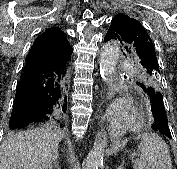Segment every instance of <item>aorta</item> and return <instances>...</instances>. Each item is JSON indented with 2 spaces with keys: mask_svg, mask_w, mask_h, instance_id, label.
Masks as SVG:
<instances>
[{
  "mask_svg": "<svg viewBox=\"0 0 177 169\" xmlns=\"http://www.w3.org/2000/svg\"><path fill=\"white\" fill-rule=\"evenodd\" d=\"M119 46L116 42L106 43L100 53V72L105 79L113 76L119 58ZM107 137L104 134L98 136L93 149L86 159L85 169H99L103 164Z\"/></svg>",
  "mask_w": 177,
  "mask_h": 169,
  "instance_id": "aorta-1",
  "label": "aorta"
}]
</instances>
